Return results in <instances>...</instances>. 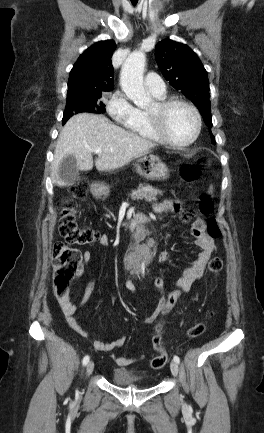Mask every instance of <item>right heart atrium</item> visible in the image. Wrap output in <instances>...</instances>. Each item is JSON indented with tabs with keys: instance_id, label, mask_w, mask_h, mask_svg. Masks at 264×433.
<instances>
[{
	"instance_id": "obj_1",
	"label": "right heart atrium",
	"mask_w": 264,
	"mask_h": 433,
	"mask_svg": "<svg viewBox=\"0 0 264 433\" xmlns=\"http://www.w3.org/2000/svg\"><path fill=\"white\" fill-rule=\"evenodd\" d=\"M106 110L116 122L129 125L137 116V108L122 91H115L106 100Z\"/></svg>"
}]
</instances>
